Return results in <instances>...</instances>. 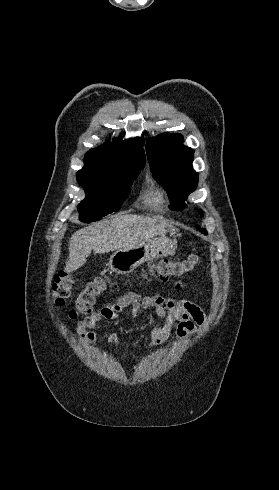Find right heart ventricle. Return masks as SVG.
<instances>
[{
  "mask_svg": "<svg viewBox=\"0 0 279 490\" xmlns=\"http://www.w3.org/2000/svg\"><path fill=\"white\" fill-rule=\"evenodd\" d=\"M164 199L163 193L155 187H150L146 193V200L149 202L160 203Z\"/></svg>",
  "mask_w": 279,
  "mask_h": 490,
  "instance_id": "right-heart-ventricle-1",
  "label": "right heart ventricle"
}]
</instances>
